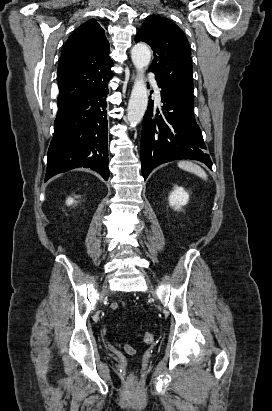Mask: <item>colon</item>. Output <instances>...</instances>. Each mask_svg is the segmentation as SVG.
Masks as SVG:
<instances>
[{
    "label": "colon",
    "instance_id": "5ec220e1",
    "mask_svg": "<svg viewBox=\"0 0 272 411\" xmlns=\"http://www.w3.org/2000/svg\"><path fill=\"white\" fill-rule=\"evenodd\" d=\"M154 338H155V336H154V333H152V332H145L144 335H143V341H144L145 343H151V342H153V341H154ZM130 382H131L132 384H135V382H136V377H135L134 375H131V377H130Z\"/></svg>",
    "mask_w": 272,
    "mask_h": 411
}]
</instances>
